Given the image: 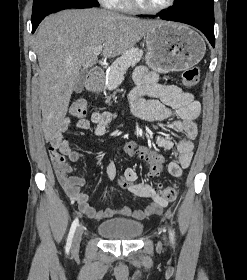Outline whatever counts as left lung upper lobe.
Segmentation results:
<instances>
[{
    "label": "left lung upper lobe",
    "mask_w": 247,
    "mask_h": 280,
    "mask_svg": "<svg viewBox=\"0 0 247 280\" xmlns=\"http://www.w3.org/2000/svg\"><path fill=\"white\" fill-rule=\"evenodd\" d=\"M214 8L213 0H177L176 5L171 7L172 11H188L194 9H208Z\"/></svg>",
    "instance_id": "obj_1"
}]
</instances>
